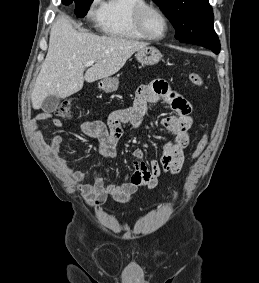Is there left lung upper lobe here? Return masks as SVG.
I'll use <instances>...</instances> for the list:
<instances>
[{
	"mask_svg": "<svg viewBox=\"0 0 259 283\" xmlns=\"http://www.w3.org/2000/svg\"><path fill=\"white\" fill-rule=\"evenodd\" d=\"M176 29L182 43L218 39L213 28L214 15L208 0H154Z\"/></svg>",
	"mask_w": 259,
	"mask_h": 283,
	"instance_id": "1",
	"label": "left lung upper lobe"
}]
</instances>
